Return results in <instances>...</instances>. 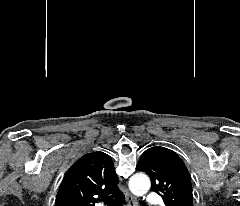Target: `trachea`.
Instances as JSON below:
<instances>
[{
  "label": "trachea",
  "mask_w": 240,
  "mask_h": 206,
  "mask_svg": "<svg viewBox=\"0 0 240 206\" xmlns=\"http://www.w3.org/2000/svg\"><path fill=\"white\" fill-rule=\"evenodd\" d=\"M103 201L107 206H118L117 203L112 199V197L104 198Z\"/></svg>",
  "instance_id": "3493384b"
}]
</instances>
